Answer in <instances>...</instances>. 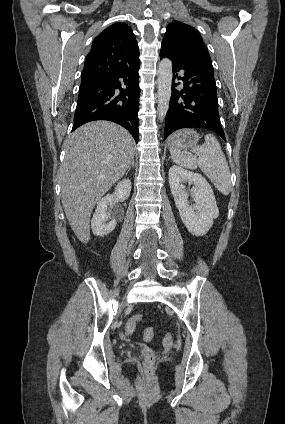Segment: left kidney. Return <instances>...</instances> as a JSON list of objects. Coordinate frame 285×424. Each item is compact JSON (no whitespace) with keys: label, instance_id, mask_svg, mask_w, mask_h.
I'll list each match as a JSON object with an SVG mask.
<instances>
[{"label":"left kidney","instance_id":"left-kidney-1","mask_svg":"<svg viewBox=\"0 0 285 424\" xmlns=\"http://www.w3.org/2000/svg\"><path fill=\"white\" fill-rule=\"evenodd\" d=\"M169 184L175 205L188 231L195 236L205 235L219 216L215 196L210 184L199 173L185 170L173 165L169 169ZM184 182L194 187L187 193ZM189 194L195 199L192 206L188 201Z\"/></svg>","mask_w":285,"mask_h":424}]
</instances>
